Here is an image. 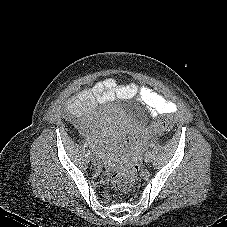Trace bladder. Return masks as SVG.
<instances>
[{
    "label": "bladder",
    "mask_w": 227,
    "mask_h": 227,
    "mask_svg": "<svg viewBox=\"0 0 227 227\" xmlns=\"http://www.w3.org/2000/svg\"><path fill=\"white\" fill-rule=\"evenodd\" d=\"M120 109L123 111L124 115L130 116L139 121L145 120V116L129 104L122 103Z\"/></svg>",
    "instance_id": "bladder-1"
}]
</instances>
